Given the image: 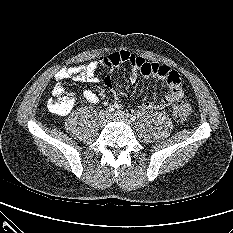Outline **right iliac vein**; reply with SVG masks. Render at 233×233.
<instances>
[{"mask_svg": "<svg viewBox=\"0 0 233 233\" xmlns=\"http://www.w3.org/2000/svg\"><path fill=\"white\" fill-rule=\"evenodd\" d=\"M110 119H111V114L109 112L104 111L100 114V123L102 126L108 123Z\"/></svg>", "mask_w": 233, "mask_h": 233, "instance_id": "obj_1", "label": "right iliac vein"}]
</instances>
